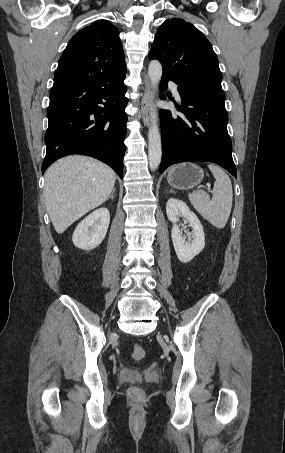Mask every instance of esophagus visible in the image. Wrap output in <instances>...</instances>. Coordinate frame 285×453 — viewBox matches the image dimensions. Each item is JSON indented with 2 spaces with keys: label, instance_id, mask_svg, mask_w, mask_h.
<instances>
[{
  "label": "esophagus",
  "instance_id": "1",
  "mask_svg": "<svg viewBox=\"0 0 285 453\" xmlns=\"http://www.w3.org/2000/svg\"><path fill=\"white\" fill-rule=\"evenodd\" d=\"M144 95L141 100V117L145 126L150 125V111H151V100H152V89L149 77L144 74Z\"/></svg>",
  "mask_w": 285,
  "mask_h": 453
}]
</instances>
